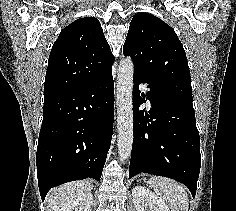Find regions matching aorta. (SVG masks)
Segmentation results:
<instances>
[{"label":"aorta","mask_w":236,"mask_h":211,"mask_svg":"<svg viewBox=\"0 0 236 211\" xmlns=\"http://www.w3.org/2000/svg\"><path fill=\"white\" fill-rule=\"evenodd\" d=\"M133 73L134 64L130 57L120 61L117 72V146L120 162L131 155L133 144Z\"/></svg>","instance_id":"1"}]
</instances>
